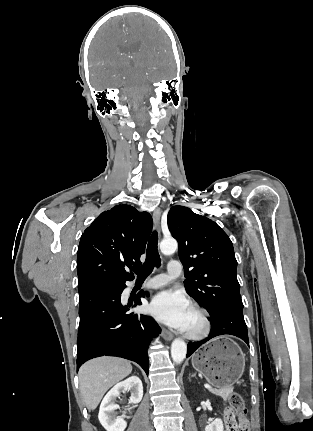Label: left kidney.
Segmentation results:
<instances>
[{"label": "left kidney", "mask_w": 313, "mask_h": 431, "mask_svg": "<svg viewBox=\"0 0 313 431\" xmlns=\"http://www.w3.org/2000/svg\"><path fill=\"white\" fill-rule=\"evenodd\" d=\"M205 431H224L223 422L217 418L205 427Z\"/></svg>", "instance_id": "1"}]
</instances>
